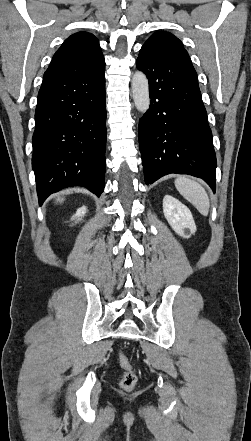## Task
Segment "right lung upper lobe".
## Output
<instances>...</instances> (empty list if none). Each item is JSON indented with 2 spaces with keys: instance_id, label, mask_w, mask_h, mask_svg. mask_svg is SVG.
<instances>
[{
  "instance_id": "right-lung-upper-lobe-1",
  "label": "right lung upper lobe",
  "mask_w": 251,
  "mask_h": 441,
  "mask_svg": "<svg viewBox=\"0 0 251 441\" xmlns=\"http://www.w3.org/2000/svg\"><path fill=\"white\" fill-rule=\"evenodd\" d=\"M105 66L98 39L78 32L67 38L54 54L44 77H72L94 72Z\"/></svg>"
}]
</instances>
